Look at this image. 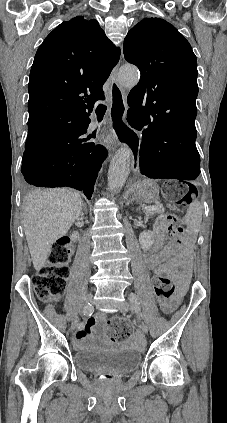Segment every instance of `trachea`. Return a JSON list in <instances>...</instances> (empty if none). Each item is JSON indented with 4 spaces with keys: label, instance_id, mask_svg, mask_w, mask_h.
I'll use <instances>...</instances> for the list:
<instances>
[{
    "label": "trachea",
    "instance_id": "3493384b",
    "mask_svg": "<svg viewBox=\"0 0 227 423\" xmlns=\"http://www.w3.org/2000/svg\"><path fill=\"white\" fill-rule=\"evenodd\" d=\"M106 110H107V107L105 105H102V103H100L96 108L97 116L103 117L105 115Z\"/></svg>",
    "mask_w": 227,
    "mask_h": 423
}]
</instances>
